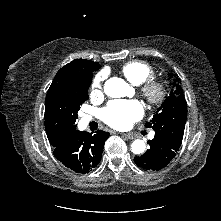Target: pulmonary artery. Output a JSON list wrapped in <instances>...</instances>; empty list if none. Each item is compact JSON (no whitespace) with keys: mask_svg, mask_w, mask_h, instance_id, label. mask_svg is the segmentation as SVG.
I'll return each instance as SVG.
<instances>
[{"mask_svg":"<svg viewBox=\"0 0 221 221\" xmlns=\"http://www.w3.org/2000/svg\"><path fill=\"white\" fill-rule=\"evenodd\" d=\"M90 120V117L86 116L83 118V121L87 123ZM154 137V132L150 133L149 138L152 139Z\"/></svg>","mask_w":221,"mask_h":221,"instance_id":"1","label":"pulmonary artery"}]
</instances>
